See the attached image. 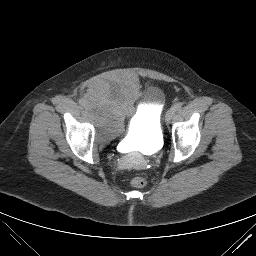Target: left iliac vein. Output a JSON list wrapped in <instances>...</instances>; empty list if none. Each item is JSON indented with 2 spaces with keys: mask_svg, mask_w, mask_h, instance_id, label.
<instances>
[{
  "mask_svg": "<svg viewBox=\"0 0 256 256\" xmlns=\"http://www.w3.org/2000/svg\"><path fill=\"white\" fill-rule=\"evenodd\" d=\"M175 115V111L171 108L166 112L165 115V121L166 123H170V121L172 120L173 116Z\"/></svg>",
  "mask_w": 256,
  "mask_h": 256,
  "instance_id": "1",
  "label": "left iliac vein"
}]
</instances>
